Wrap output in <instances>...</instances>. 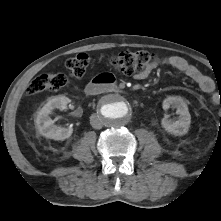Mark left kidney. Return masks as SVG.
Here are the masks:
<instances>
[{
	"label": "left kidney",
	"mask_w": 221,
	"mask_h": 221,
	"mask_svg": "<svg viewBox=\"0 0 221 221\" xmlns=\"http://www.w3.org/2000/svg\"><path fill=\"white\" fill-rule=\"evenodd\" d=\"M162 107L164 110L170 107L176 108V113L179 115L177 120L168 119V115H165L161 121L164 130L175 136L185 135L191 124V115L186 100L181 96H169L163 100Z\"/></svg>",
	"instance_id": "obj_1"
}]
</instances>
